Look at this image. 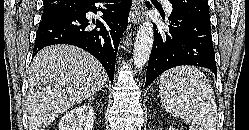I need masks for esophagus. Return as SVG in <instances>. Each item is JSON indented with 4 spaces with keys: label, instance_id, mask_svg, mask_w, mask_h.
<instances>
[{
    "label": "esophagus",
    "instance_id": "1",
    "mask_svg": "<svg viewBox=\"0 0 249 130\" xmlns=\"http://www.w3.org/2000/svg\"><path fill=\"white\" fill-rule=\"evenodd\" d=\"M145 0H134L129 14V23L138 25L141 21V16L144 8Z\"/></svg>",
    "mask_w": 249,
    "mask_h": 130
}]
</instances>
